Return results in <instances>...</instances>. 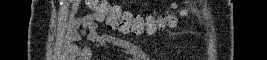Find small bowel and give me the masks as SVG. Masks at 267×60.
Instances as JSON below:
<instances>
[{
    "mask_svg": "<svg viewBox=\"0 0 267 60\" xmlns=\"http://www.w3.org/2000/svg\"><path fill=\"white\" fill-rule=\"evenodd\" d=\"M65 38L67 44L72 50L80 53L85 57L91 55V48L88 46L77 47L73 45L75 41L81 38H87L93 43H105L109 45L120 46L128 52L136 55L140 59H150V57L146 55L144 50L137 46L135 43L131 41L121 40L99 31L97 24L89 16H82L72 19L69 22Z\"/></svg>",
    "mask_w": 267,
    "mask_h": 60,
    "instance_id": "c3829d8e",
    "label": "small bowel"
}]
</instances>
